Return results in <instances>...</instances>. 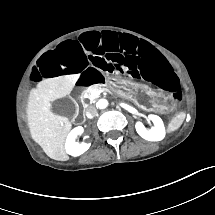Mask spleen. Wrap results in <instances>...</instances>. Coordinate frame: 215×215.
<instances>
[{"instance_id":"1","label":"spleen","mask_w":215,"mask_h":215,"mask_svg":"<svg viewBox=\"0 0 215 215\" xmlns=\"http://www.w3.org/2000/svg\"><path fill=\"white\" fill-rule=\"evenodd\" d=\"M184 118V113H181L180 115L173 118V120L169 124V131H174L175 129H177L182 124Z\"/></svg>"}]
</instances>
